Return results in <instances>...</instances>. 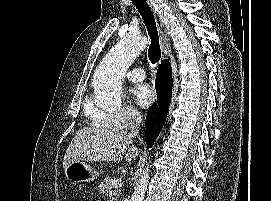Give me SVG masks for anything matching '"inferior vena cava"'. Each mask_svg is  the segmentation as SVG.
Masks as SVG:
<instances>
[{
	"instance_id": "inferior-vena-cava-1",
	"label": "inferior vena cava",
	"mask_w": 271,
	"mask_h": 201,
	"mask_svg": "<svg viewBox=\"0 0 271 201\" xmlns=\"http://www.w3.org/2000/svg\"><path fill=\"white\" fill-rule=\"evenodd\" d=\"M132 129L129 133L131 137L137 136L140 131V124L142 122L141 115L138 112L131 113Z\"/></svg>"
}]
</instances>
